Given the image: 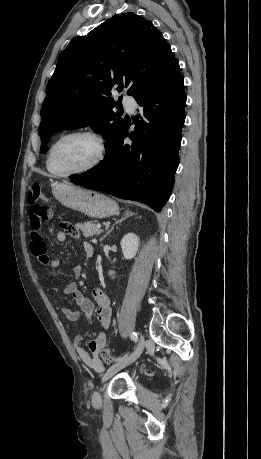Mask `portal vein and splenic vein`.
I'll list each match as a JSON object with an SVG mask.
<instances>
[{"instance_id": "18ae733b", "label": "portal vein and splenic vein", "mask_w": 261, "mask_h": 459, "mask_svg": "<svg viewBox=\"0 0 261 459\" xmlns=\"http://www.w3.org/2000/svg\"><path fill=\"white\" fill-rule=\"evenodd\" d=\"M97 228L100 229V228H101V225H100V224H97Z\"/></svg>"}]
</instances>
